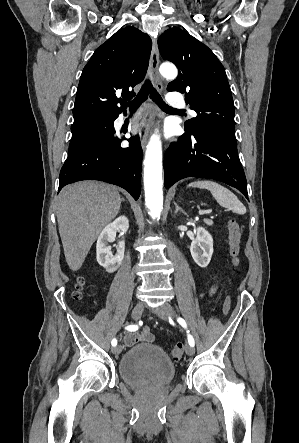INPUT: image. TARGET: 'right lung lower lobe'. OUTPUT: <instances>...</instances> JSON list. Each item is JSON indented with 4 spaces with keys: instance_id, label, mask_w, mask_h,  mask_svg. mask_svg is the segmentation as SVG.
<instances>
[{
    "instance_id": "98d812e1",
    "label": "right lung lower lobe",
    "mask_w": 299,
    "mask_h": 443,
    "mask_svg": "<svg viewBox=\"0 0 299 443\" xmlns=\"http://www.w3.org/2000/svg\"><path fill=\"white\" fill-rule=\"evenodd\" d=\"M119 114L110 116L112 121ZM125 139V138H122ZM115 130L69 154L59 176L58 192L67 184L81 180H100L127 190L135 200L141 192L142 148L137 136L121 147Z\"/></svg>"
}]
</instances>
